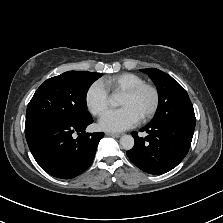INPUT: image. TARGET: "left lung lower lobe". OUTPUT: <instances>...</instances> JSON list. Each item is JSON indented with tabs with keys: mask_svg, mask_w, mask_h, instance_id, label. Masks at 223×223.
I'll use <instances>...</instances> for the list:
<instances>
[{
	"mask_svg": "<svg viewBox=\"0 0 223 223\" xmlns=\"http://www.w3.org/2000/svg\"><path fill=\"white\" fill-rule=\"evenodd\" d=\"M195 126L181 123L147 124L141 129L148 136L132 132L134 147L127 151L129 159L150 174H163L176 167L186 156Z\"/></svg>",
	"mask_w": 223,
	"mask_h": 223,
	"instance_id": "0a47b994",
	"label": "left lung lower lobe"
}]
</instances>
